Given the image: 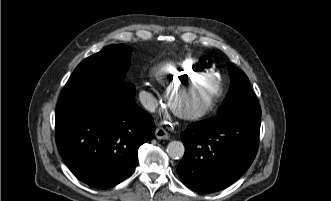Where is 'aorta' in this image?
I'll return each instance as SVG.
<instances>
[{
	"mask_svg": "<svg viewBox=\"0 0 331 201\" xmlns=\"http://www.w3.org/2000/svg\"><path fill=\"white\" fill-rule=\"evenodd\" d=\"M167 153L172 159H179L184 156L185 147L180 141H171L167 146Z\"/></svg>",
	"mask_w": 331,
	"mask_h": 201,
	"instance_id": "762f6f07",
	"label": "aorta"
}]
</instances>
